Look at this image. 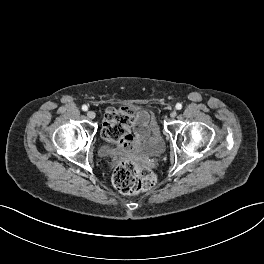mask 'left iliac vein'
Masks as SVG:
<instances>
[{
	"instance_id": "4c4485c4",
	"label": "left iliac vein",
	"mask_w": 264,
	"mask_h": 264,
	"mask_svg": "<svg viewBox=\"0 0 264 264\" xmlns=\"http://www.w3.org/2000/svg\"><path fill=\"white\" fill-rule=\"evenodd\" d=\"M170 116L172 118H175L177 116V112L176 111H172L171 114H170Z\"/></svg>"
}]
</instances>
